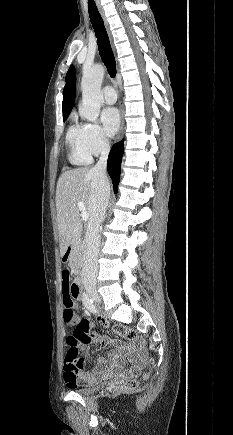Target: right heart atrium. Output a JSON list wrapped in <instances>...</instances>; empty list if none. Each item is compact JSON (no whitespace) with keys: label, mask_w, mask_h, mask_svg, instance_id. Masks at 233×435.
<instances>
[{"label":"right heart atrium","mask_w":233,"mask_h":435,"mask_svg":"<svg viewBox=\"0 0 233 435\" xmlns=\"http://www.w3.org/2000/svg\"><path fill=\"white\" fill-rule=\"evenodd\" d=\"M86 147L94 156H100L109 149V139L98 124H86Z\"/></svg>","instance_id":"obj_1"}]
</instances>
